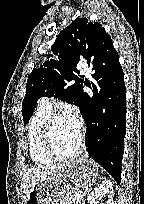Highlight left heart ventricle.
<instances>
[{
	"label": "left heart ventricle",
	"mask_w": 144,
	"mask_h": 204,
	"mask_svg": "<svg viewBox=\"0 0 144 204\" xmlns=\"http://www.w3.org/2000/svg\"><path fill=\"white\" fill-rule=\"evenodd\" d=\"M79 133L80 128L69 117L57 119L52 131L55 149L61 154L71 153L77 147Z\"/></svg>",
	"instance_id": "1"
}]
</instances>
